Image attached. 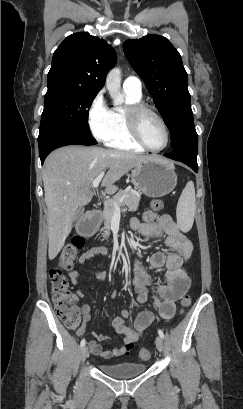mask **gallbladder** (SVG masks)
<instances>
[{"instance_id": "1", "label": "gallbladder", "mask_w": 243, "mask_h": 409, "mask_svg": "<svg viewBox=\"0 0 243 409\" xmlns=\"http://www.w3.org/2000/svg\"><path fill=\"white\" fill-rule=\"evenodd\" d=\"M83 211H84V208L83 207H81L80 209H79V211H78V214H77V216H76V219L75 220H77L81 215H82V213H83Z\"/></svg>"}]
</instances>
